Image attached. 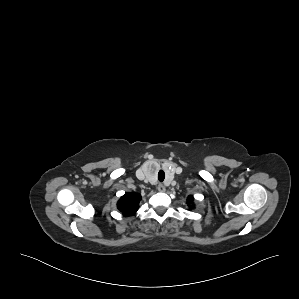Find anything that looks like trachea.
I'll return each mask as SVG.
<instances>
[{
    "mask_svg": "<svg viewBox=\"0 0 299 299\" xmlns=\"http://www.w3.org/2000/svg\"><path fill=\"white\" fill-rule=\"evenodd\" d=\"M164 178H165V173H164L163 170H160L159 173H158V180L160 182H162L164 180Z\"/></svg>",
    "mask_w": 299,
    "mask_h": 299,
    "instance_id": "obj_1",
    "label": "trachea"
}]
</instances>
